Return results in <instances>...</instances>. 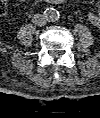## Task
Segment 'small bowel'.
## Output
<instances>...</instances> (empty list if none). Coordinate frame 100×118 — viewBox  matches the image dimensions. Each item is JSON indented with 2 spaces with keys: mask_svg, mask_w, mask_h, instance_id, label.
<instances>
[{
  "mask_svg": "<svg viewBox=\"0 0 100 118\" xmlns=\"http://www.w3.org/2000/svg\"><path fill=\"white\" fill-rule=\"evenodd\" d=\"M22 1V0H21ZM52 2V0H50ZM99 10H100V5H99ZM88 18L93 23L94 25H99L100 24V15L90 12L88 14Z\"/></svg>",
  "mask_w": 100,
  "mask_h": 118,
  "instance_id": "1",
  "label": "small bowel"
}]
</instances>
